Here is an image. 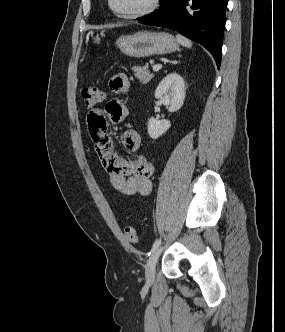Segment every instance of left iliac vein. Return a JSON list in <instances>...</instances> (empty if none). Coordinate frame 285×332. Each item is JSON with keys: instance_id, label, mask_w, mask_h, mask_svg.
Wrapping results in <instances>:
<instances>
[{"instance_id": "1", "label": "left iliac vein", "mask_w": 285, "mask_h": 332, "mask_svg": "<svg viewBox=\"0 0 285 332\" xmlns=\"http://www.w3.org/2000/svg\"><path fill=\"white\" fill-rule=\"evenodd\" d=\"M162 251H163V246H159L146 264L145 276L148 283L153 282L155 278L156 264L158 262V259Z\"/></svg>"}]
</instances>
